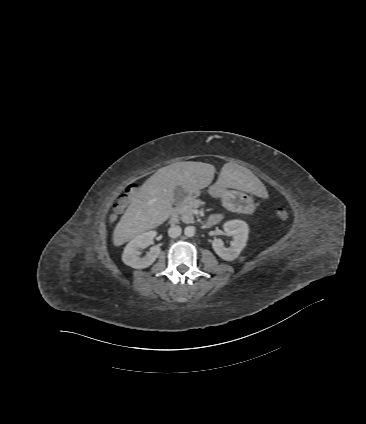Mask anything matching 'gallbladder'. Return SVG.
I'll use <instances>...</instances> for the list:
<instances>
[{
	"instance_id": "1",
	"label": "gallbladder",
	"mask_w": 366,
	"mask_h": 424,
	"mask_svg": "<svg viewBox=\"0 0 366 424\" xmlns=\"http://www.w3.org/2000/svg\"><path fill=\"white\" fill-rule=\"evenodd\" d=\"M185 191L181 186H177L174 190V200L175 203H178L179 201H181L184 196H185Z\"/></svg>"
}]
</instances>
